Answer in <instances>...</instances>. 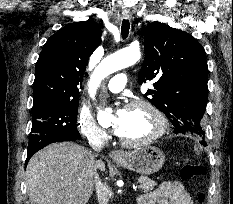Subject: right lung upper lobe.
I'll return each instance as SVG.
<instances>
[{"label": "right lung upper lobe", "instance_id": "right-lung-upper-lobe-1", "mask_svg": "<svg viewBox=\"0 0 233 204\" xmlns=\"http://www.w3.org/2000/svg\"><path fill=\"white\" fill-rule=\"evenodd\" d=\"M100 43L101 29L92 20L66 25L52 35L36 63L33 108L79 100L86 64Z\"/></svg>", "mask_w": 233, "mask_h": 204}]
</instances>
